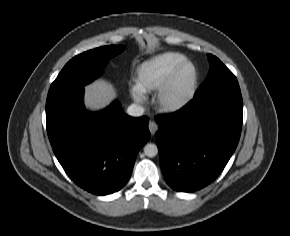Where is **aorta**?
Segmentation results:
<instances>
[{"mask_svg":"<svg viewBox=\"0 0 290 236\" xmlns=\"http://www.w3.org/2000/svg\"><path fill=\"white\" fill-rule=\"evenodd\" d=\"M144 153L147 157H155L158 154V148L153 143H148L144 146Z\"/></svg>","mask_w":290,"mask_h":236,"instance_id":"obj_1","label":"aorta"}]
</instances>
